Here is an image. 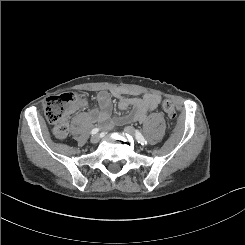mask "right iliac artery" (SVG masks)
<instances>
[{
    "instance_id": "82829eb1",
    "label": "right iliac artery",
    "mask_w": 245,
    "mask_h": 245,
    "mask_svg": "<svg viewBox=\"0 0 245 245\" xmlns=\"http://www.w3.org/2000/svg\"><path fill=\"white\" fill-rule=\"evenodd\" d=\"M98 132H99V128H94V129H92L91 134L92 135L97 134Z\"/></svg>"
}]
</instances>
